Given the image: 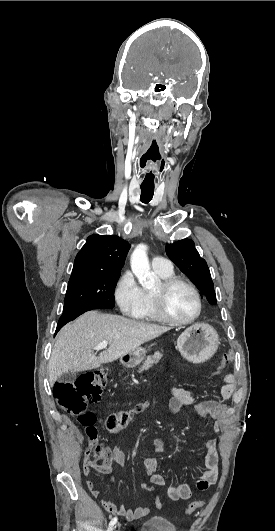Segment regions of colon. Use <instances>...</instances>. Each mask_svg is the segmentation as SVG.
<instances>
[{"mask_svg":"<svg viewBox=\"0 0 275 531\" xmlns=\"http://www.w3.org/2000/svg\"><path fill=\"white\" fill-rule=\"evenodd\" d=\"M234 353L230 350L223 352L219 371H222L226 364L232 362ZM107 383V370L97 369L83 372L74 381H58L53 387V396L57 403L69 414L77 417L80 425L84 428L89 441L87 458L89 463L87 469H97L99 472L107 470V462L104 457L108 446L98 437V429L93 425L94 412L87 409L90 403L98 402L101 398L102 388ZM138 410H123L111 413L101 420L103 429L113 433L126 427ZM142 488L148 492L153 491L151 483H144ZM204 505L203 500H196L189 505V512H193ZM156 511L161 509V503L154 506Z\"/></svg>","mask_w":275,"mask_h":531,"instance_id":"obj_1","label":"colon"}]
</instances>
